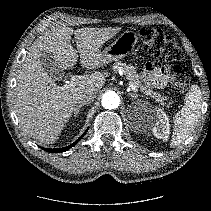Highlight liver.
<instances>
[{
	"mask_svg": "<svg viewBox=\"0 0 211 211\" xmlns=\"http://www.w3.org/2000/svg\"><path fill=\"white\" fill-rule=\"evenodd\" d=\"M119 30L118 27L73 30L58 26L34 41L22 62L13 92L15 113L27 134L42 143L55 142L76 108L77 95L84 90L97 93L105 83V77L95 72L77 84L58 86L45 71L41 52L51 53L62 69L72 68L78 61V53L70 41L74 34L81 65L100 68L107 63L100 48Z\"/></svg>",
	"mask_w": 211,
	"mask_h": 211,
	"instance_id": "1",
	"label": "liver"
}]
</instances>
